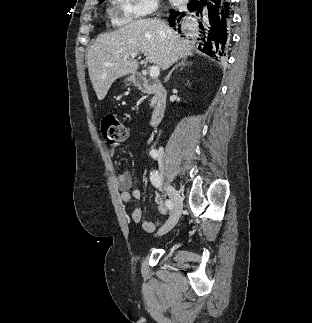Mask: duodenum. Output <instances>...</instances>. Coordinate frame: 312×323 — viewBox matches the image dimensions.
<instances>
[{"label":"duodenum","instance_id":"410a0bca","mask_svg":"<svg viewBox=\"0 0 312 323\" xmlns=\"http://www.w3.org/2000/svg\"><path fill=\"white\" fill-rule=\"evenodd\" d=\"M133 84L141 91L152 94L153 110L150 119L152 126L157 125L165 116L168 108V91L156 78H148L137 72L132 77Z\"/></svg>","mask_w":312,"mask_h":323}]
</instances>
